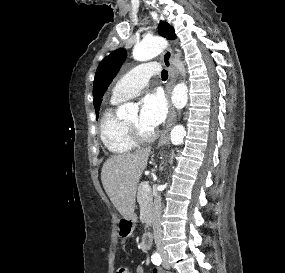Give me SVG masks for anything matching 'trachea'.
I'll return each instance as SVG.
<instances>
[{"label":"trachea","mask_w":285,"mask_h":273,"mask_svg":"<svg viewBox=\"0 0 285 273\" xmlns=\"http://www.w3.org/2000/svg\"><path fill=\"white\" fill-rule=\"evenodd\" d=\"M161 77H162L163 80H167V78H168V72H167L166 70H163V71L161 72Z\"/></svg>","instance_id":"3493384b"}]
</instances>
